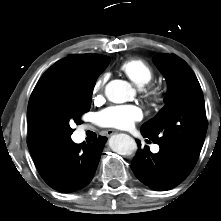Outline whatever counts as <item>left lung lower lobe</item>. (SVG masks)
<instances>
[{"mask_svg":"<svg viewBox=\"0 0 221 221\" xmlns=\"http://www.w3.org/2000/svg\"><path fill=\"white\" fill-rule=\"evenodd\" d=\"M142 135L147 138L143 132ZM137 144L139 148L131 169L151 189L165 191L176 187L196 164L175 148L160 145L159 152L153 154L146 146L142 149L139 140Z\"/></svg>","mask_w":221,"mask_h":221,"instance_id":"left-lung-lower-lobe-1","label":"left lung lower lobe"}]
</instances>
